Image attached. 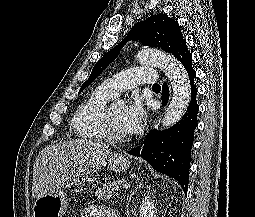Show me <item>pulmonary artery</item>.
<instances>
[{"label":"pulmonary artery","mask_w":255,"mask_h":217,"mask_svg":"<svg viewBox=\"0 0 255 217\" xmlns=\"http://www.w3.org/2000/svg\"><path fill=\"white\" fill-rule=\"evenodd\" d=\"M156 80L157 76L153 69L135 67L106 79L102 86L115 97L123 90L132 88L138 84H154Z\"/></svg>","instance_id":"obj_1"}]
</instances>
